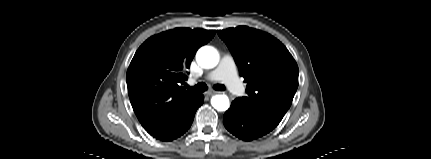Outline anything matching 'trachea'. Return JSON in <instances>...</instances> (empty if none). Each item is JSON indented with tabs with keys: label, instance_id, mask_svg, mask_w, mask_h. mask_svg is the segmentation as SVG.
Wrapping results in <instances>:
<instances>
[{
	"label": "trachea",
	"instance_id": "3493384b",
	"mask_svg": "<svg viewBox=\"0 0 431 159\" xmlns=\"http://www.w3.org/2000/svg\"><path fill=\"white\" fill-rule=\"evenodd\" d=\"M187 88L189 89V90H191V91H193L194 93H202V92H204V91H206L208 88H207V85L205 84V83H198L197 85H195L194 87H189V86H187ZM213 88L215 89V90H217V91H224L225 90V86L224 85H222V84H215L214 86H213Z\"/></svg>",
	"mask_w": 431,
	"mask_h": 159
}]
</instances>
